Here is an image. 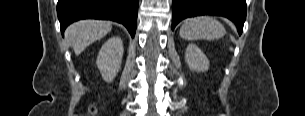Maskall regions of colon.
<instances>
[{"label": "colon", "mask_w": 305, "mask_h": 116, "mask_svg": "<svg viewBox=\"0 0 305 116\" xmlns=\"http://www.w3.org/2000/svg\"><path fill=\"white\" fill-rule=\"evenodd\" d=\"M89 111L90 113L94 114L96 112V109L94 107H90Z\"/></svg>", "instance_id": "5ec220e1"}]
</instances>
